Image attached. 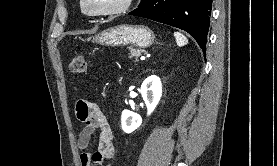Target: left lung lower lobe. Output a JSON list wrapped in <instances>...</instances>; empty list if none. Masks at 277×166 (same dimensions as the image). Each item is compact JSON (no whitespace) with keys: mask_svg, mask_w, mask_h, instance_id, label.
<instances>
[{"mask_svg":"<svg viewBox=\"0 0 277 166\" xmlns=\"http://www.w3.org/2000/svg\"><path fill=\"white\" fill-rule=\"evenodd\" d=\"M211 10L212 0H146L129 15L182 29L205 51Z\"/></svg>","mask_w":277,"mask_h":166,"instance_id":"obj_1","label":"left lung lower lobe"}]
</instances>
